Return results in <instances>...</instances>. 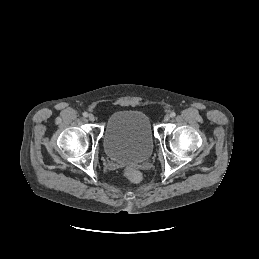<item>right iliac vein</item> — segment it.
I'll return each instance as SVG.
<instances>
[{
  "instance_id": "1",
  "label": "right iliac vein",
  "mask_w": 259,
  "mask_h": 259,
  "mask_svg": "<svg viewBox=\"0 0 259 259\" xmlns=\"http://www.w3.org/2000/svg\"><path fill=\"white\" fill-rule=\"evenodd\" d=\"M88 119L93 122L95 120V116L93 114H89Z\"/></svg>"
}]
</instances>
